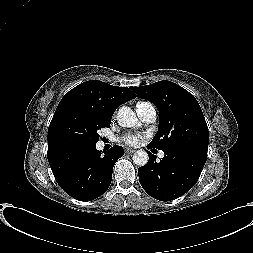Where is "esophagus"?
Masks as SVG:
<instances>
[{
  "label": "esophagus",
  "mask_w": 253,
  "mask_h": 253,
  "mask_svg": "<svg viewBox=\"0 0 253 253\" xmlns=\"http://www.w3.org/2000/svg\"><path fill=\"white\" fill-rule=\"evenodd\" d=\"M125 151H126L127 153H133V152H135L134 149H130V148L125 149Z\"/></svg>",
  "instance_id": "obj_1"
}]
</instances>
